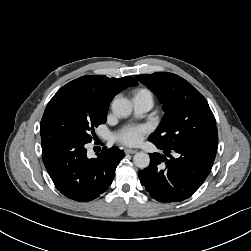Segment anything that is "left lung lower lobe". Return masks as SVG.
Wrapping results in <instances>:
<instances>
[{
	"label": "left lung lower lobe",
	"instance_id": "left-lung-lower-lobe-1",
	"mask_svg": "<svg viewBox=\"0 0 251 251\" xmlns=\"http://www.w3.org/2000/svg\"><path fill=\"white\" fill-rule=\"evenodd\" d=\"M154 144L169 158L158 153L150 154V165L138 173L141 184L160 202H179L189 198L211 171L218 142H190L170 149ZM171 152L178 153L179 157L174 158Z\"/></svg>",
	"mask_w": 251,
	"mask_h": 251
}]
</instances>
